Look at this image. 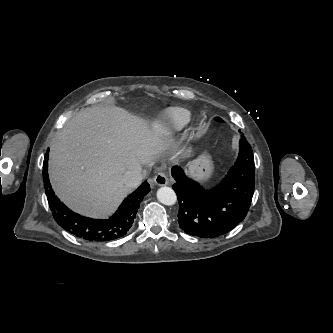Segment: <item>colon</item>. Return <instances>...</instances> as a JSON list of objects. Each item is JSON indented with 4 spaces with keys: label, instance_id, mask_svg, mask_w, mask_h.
<instances>
[{
    "label": "colon",
    "instance_id": "colon-1",
    "mask_svg": "<svg viewBox=\"0 0 333 333\" xmlns=\"http://www.w3.org/2000/svg\"><path fill=\"white\" fill-rule=\"evenodd\" d=\"M215 121L219 122V123L223 122L222 119H220V118H215Z\"/></svg>",
    "mask_w": 333,
    "mask_h": 333
}]
</instances>
